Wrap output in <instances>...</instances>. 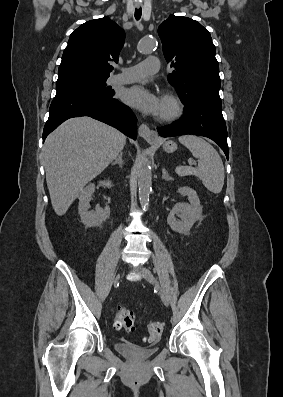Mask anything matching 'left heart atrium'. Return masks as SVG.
<instances>
[{
  "label": "left heart atrium",
  "mask_w": 283,
  "mask_h": 397,
  "mask_svg": "<svg viewBox=\"0 0 283 397\" xmlns=\"http://www.w3.org/2000/svg\"><path fill=\"white\" fill-rule=\"evenodd\" d=\"M122 100L129 106L147 115L161 113L162 99L142 85H133L124 89Z\"/></svg>",
  "instance_id": "obj_1"
}]
</instances>
